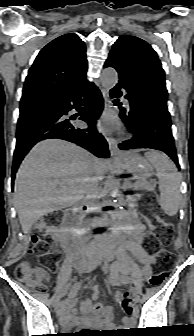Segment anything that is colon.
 <instances>
[{
  "label": "colon",
  "mask_w": 194,
  "mask_h": 336,
  "mask_svg": "<svg viewBox=\"0 0 194 336\" xmlns=\"http://www.w3.org/2000/svg\"><path fill=\"white\" fill-rule=\"evenodd\" d=\"M143 211L147 215L148 223L152 229L146 237L145 245L152 256L162 257L164 263L168 264L171 255L163 248V245L171 241L173 231L163 219L159 206L154 200L148 199L143 204ZM52 221L51 217L39 220L35 231L31 235V251L38 256L45 257L51 254L52 240L49 226ZM15 275L18 280L33 290L40 292L46 290L49 272L44 266H36L28 261H21L16 266ZM165 275L166 271L157 272L148 277L147 282L150 285H157L161 283Z\"/></svg>",
  "instance_id": "5ec220e1"
}]
</instances>
